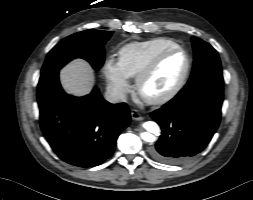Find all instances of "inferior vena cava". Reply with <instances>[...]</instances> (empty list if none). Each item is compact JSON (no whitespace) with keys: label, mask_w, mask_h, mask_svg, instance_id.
Segmentation results:
<instances>
[{"label":"inferior vena cava","mask_w":253,"mask_h":200,"mask_svg":"<svg viewBox=\"0 0 253 200\" xmlns=\"http://www.w3.org/2000/svg\"><path fill=\"white\" fill-rule=\"evenodd\" d=\"M105 99L108 102L115 104L124 102L126 100V95L116 88H108L105 92Z\"/></svg>","instance_id":"obj_1"}]
</instances>
